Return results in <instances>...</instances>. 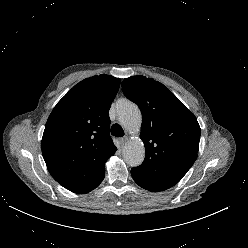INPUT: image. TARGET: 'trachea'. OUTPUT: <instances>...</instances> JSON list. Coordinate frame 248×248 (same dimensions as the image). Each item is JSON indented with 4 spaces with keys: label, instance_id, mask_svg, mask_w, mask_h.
<instances>
[{
    "label": "trachea",
    "instance_id": "3493384b",
    "mask_svg": "<svg viewBox=\"0 0 248 248\" xmlns=\"http://www.w3.org/2000/svg\"><path fill=\"white\" fill-rule=\"evenodd\" d=\"M111 134L115 137L124 136V130L119 124H114L111 127Z\"/></svg>",
    "mask_w": 248,
    "mask_h": 248
}]
</instances>
